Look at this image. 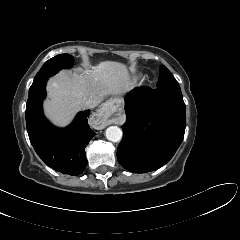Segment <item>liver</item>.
<instances>
[{
  "mask_svg": "<svg viewBox=\"0 0 240 240\" xmlns=\"http://www.w3.org/2000/svg\"><path fill=\"white\" fill-rule=\"evenodd\" d=\"M130 89L128 69L119 62L104 61L81 74L61 71L47 83L44 112L55 125L66 126L84 108L86 100H95L98 105L106 95L122 94Z\"/></svg>",
  "mask_w": 240,
  "mask_h": 240,
  "instance_id": "obj_1",
  "label": "liver"
}]
</instances>
